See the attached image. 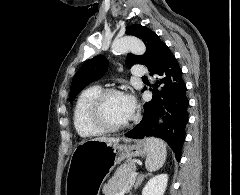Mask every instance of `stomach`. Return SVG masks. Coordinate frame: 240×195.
I'll return each mask as SVG.
<instances>
[{
    "instance_id": "stomach-1",
    "label": "stomach",
    "mask_w": 240,
    "mask_h": 195,
    "mask_svg": "<svg viewBox=\"0 0 240 195\" xmlns=\"http://www.w3.org/2000/svg\"><path fill=\"white\" fill-rule=\"evenodd\" d=\"M148 153L147 139L119 137L118 143L85 139L75 147L66 177V195H99L101 185L122 159Z\"/></svg>"
}]
</instances>
